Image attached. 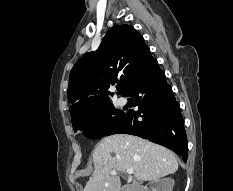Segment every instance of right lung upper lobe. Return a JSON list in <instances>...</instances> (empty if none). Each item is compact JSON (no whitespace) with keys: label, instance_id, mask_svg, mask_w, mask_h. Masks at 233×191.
<instances>
[{"label":"right lung upper lobe","instance_id":"right-lung-upper-lobe-1","mask_svg":"<svg viewBox=\"0 0 233 191\" xmlns=\"http://www.w3.org/2000/svg\"><path fill=\"white\" fill-rule=\"evenodd\" d=\"M150 57L143 37L132 26L112 27L99 49L85 54L71 70L68 87L71 117L110 102L109 87L115 81L122 83L119 94L125 95Z\"/></svg>","mask_w":233,"mask_h":191}]
</instances>
